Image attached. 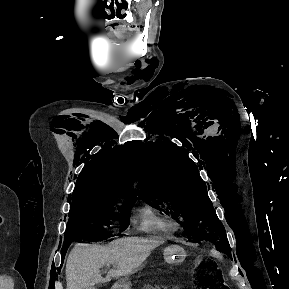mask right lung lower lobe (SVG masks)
Here are the masks:
<instances>
[{
  "label": "right lung lower lobe",
  "mask_w": 289,
  "mask_h": 289,
  "mask_svg": "<svg viewBox=\"0 0 289 289\" xmlns=\"http://www.w3.org/2000/svg\"><path fill=\"white\" fill-rule=\"evenodd\" d=\"M66 251H67V247L64 246L63 249H62V251H61V252H62V257L65 256Z\"/></svg>",
  "instance_id": "obj_1"
}]
</instances>
